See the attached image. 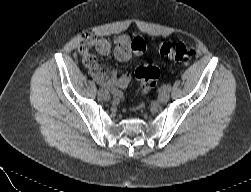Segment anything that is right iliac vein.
<instances>
[{
	"label": "right iliac vein",
	"mask_w": 251,
	"mask_h": 192,
	"mask_svg": "<svg viewBox=\"0 0 251 192\" xmlns=\"http://www.w3.org/2000/svg\"><path fill=\"white\" fill-rule=\"evenodd\" d=\"M101 96H102V98L104 100H109L110 99V94L107 91L103 92V94Z\"/></svg>",
	"instance_id": "63e3f726"
}]
</instances>
